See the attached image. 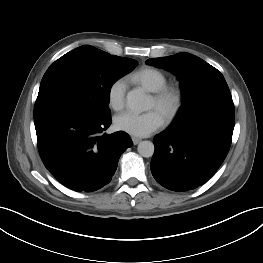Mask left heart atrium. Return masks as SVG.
<instances>
[{"label":"left heart atrium","mask_w":263,"mask_h":263,"mask_svg":"<svg viewBox=\"0 0 263 263\" xmlns=\"http://www.w3.org/2000/svg\"><path fill=\"white\" fill-rule=\"evenodd\" d=\"M163 116L152 109L144 113L124 112L114 119L115 127L133 136L144 137L163 125Z\"/></svg>","instance_id":"1"}]
</instances>
